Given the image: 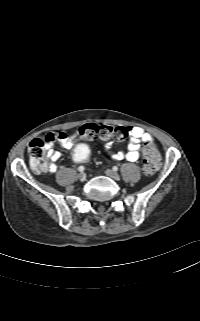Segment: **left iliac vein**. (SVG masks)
<instances>
[{
	"mask_svg": "<svg viewBox=\"0 0 200 321\" xmlns=\"http://www.w3.org/2000/svg\"><path fill=\"white\" fill-rule=\"evenodd\" d=\"M105 174H106L108 177H110V178H112V179H114V180H119V179H120L119 174H118L117 172H115L114 170L107 169V170L105 171Z\"/></svg>",
	"mask_w": 200,
	"mask_h": 321,
	"instance_id": "left-iliac-vein-1",
	"label": "left iliac vein"
}]
</instances>
